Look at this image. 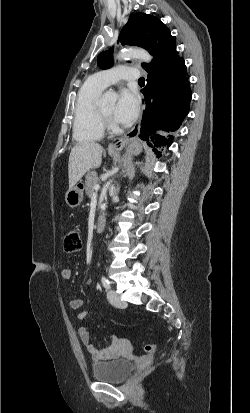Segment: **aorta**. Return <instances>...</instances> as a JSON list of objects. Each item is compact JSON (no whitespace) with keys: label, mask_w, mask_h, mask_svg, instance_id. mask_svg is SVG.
Masks as SVG:
<instances>
[{"label":"aorta","mask_w":250,"mask_h":413,"mask_svg":"<svg viewBox=\"0 0 250 413\" xmlns=\"http://www.w3.org/2000/svg\"><path fill=\"white\" fill-rule=\"evenodd\" d=\"M130 58L139 59L141 61L149 63L152 60V56L142 48H130L122 50L118 55V60H127ZM116 101V94L108 91L102 97L103 103H114ZM118 190V189H117ZM118 199L117 195L113 197V202Z\"/></svg>","instance_id":"aorta-1"}]
</instances>
